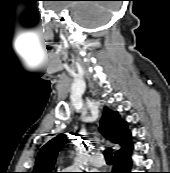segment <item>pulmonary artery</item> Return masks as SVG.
<instances>
[{
  "label": "pulmonary artery",
  "mask_w": 170,
  "mask_h": 173,
  "mask_svg": "<svg viewBox=\"0 0 170 173\" xmlns=\"http://www.w3.org/2000/svg\"><path fill=\"white\" fill-rule=\"evenodd\" d=\"M90 162L93 166L101 167L104 164V159L98 154H93L90 158Z\"/></svg>",
  "instance_id": "e3ab8cb5"
}]
</instances>
